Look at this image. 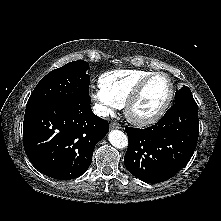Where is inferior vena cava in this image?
I'll use <instances>...</instances> for the list:
<instances>
[{
    "label": "inferior vena cava",
    "mask_w": 221,
    "mask_h": 221,
    "mask_svg": "<svg viewBox=\"0 0 221 221\" xmlns=\"http://www.w3.org/2000/svg\"><path fill=\"white\" fill-rule=\"evenodd\" d=\"M93 111L98 116H102V117L109 116L108 110L104 106L99 105V104H96L93 106Z\"/></svg>",
    "instance_id": "obj_1"
}]
</instances>
